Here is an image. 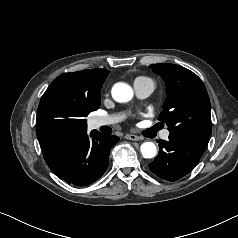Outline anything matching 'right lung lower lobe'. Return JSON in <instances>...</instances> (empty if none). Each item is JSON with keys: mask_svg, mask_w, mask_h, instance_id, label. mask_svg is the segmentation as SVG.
<instances>
[{"mask_svg": "<svg viewBox=\"0 0 238 238\" xmlns=\"http://www.w3.org/2000/svg\"><path fill=\"white\" fill-rule=\"evenodd\" d=\"M118 141L117 136L103 135L96 130L88 135L85 127L43 151V156L60 179L76 186H86L104 174L110 149Z\"/></svg>", "mask_w": 238, "mask_h": 238, "instance_id": "obj_1", "label": "right lung lower lobe"}]
</instances>
